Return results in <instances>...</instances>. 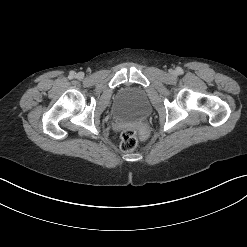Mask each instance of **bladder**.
Here are the masks:
<instances>
[{
  "mask_svg": "<svg viewBox=\"0 0 247 247\" xmlns=\"http://www.w3.org/2000/svg\"><path fill=\"white\" fill-rule=\"evenodd\" d=\"M150 109L146 91L138 86L121 88L115 98L112 112L115 118L136 121L145 118Z\"/></svg>",
  "mask_w": 247,
  "mask_h": 247,
  "instance_id": "bladder-1",
  "label": "bladder"
}]
</instances>
